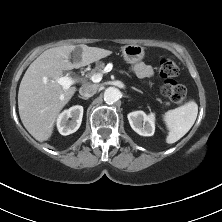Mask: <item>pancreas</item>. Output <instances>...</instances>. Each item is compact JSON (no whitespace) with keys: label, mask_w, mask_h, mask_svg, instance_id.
Wrapping results in <instances>:
<instances>
[{"label":"pancreas","mask_w":222,"mask_h":222,"mask_svg":"<svg viewBox=\"0 0 222 222\" xmlns=\"http://www.w3.org/2000/svg\"><path fill=\"white\" fill-rule=\"evenodd\" d=\"M105 64L103 62H99L96 64L95 68L89 73V76H92L93 74H98L101 73L103 74V68H104ZM158 101L161 102L160 99H157ZM169 102H166V105H169Z\"/></svg>","instance_id":"pancreas-1"}]
</instances>
